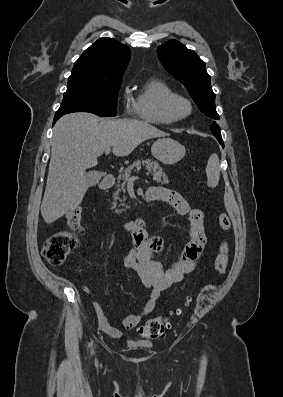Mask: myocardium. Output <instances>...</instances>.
Instances as JSON below:
<instances>
[{
    "label": "myocardium",
    "instance_id": "obj_1",
    "mask_svg": "<svg viewBox=\"0 0 283 397\" xmlns=\"http://www.w3.org/2000/svg\"><path fill=\"white\" fill-rule=\"evenodd\" d=\"M180 106L184 107L183 111L180 110ZM192 110V102L187 97L179 94L169 98L165 105V111L173 122L188 118Z\"/></svg>",
    "mask_w": 283,
    "mask_h": 397
}]
</instances>
